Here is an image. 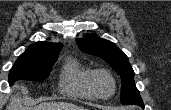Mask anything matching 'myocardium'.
<instances>
[{"mask_svg":"<svg viewBox=\"0 0 171 110\" xmlns=\"http://www.w3.org/2000/svg\"><path fill=\"white\" fill-rule=\"evenodd\" d=\"M99 76H105L111 81L113 88H112V92L110 95L104 96L98 92V90L96 88V80ZM89 85H90L93 95L98 99H102V100L110 99L116 93V88H117L116 80H115L114 76L112 75V73L104 68H100V69L91 71V74L89 77Z\"/></svg>","mask_w":171,"mask_h":110,"instance_id":"obj_1","label":"myocardium"}]
</instances>
